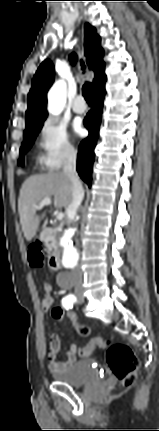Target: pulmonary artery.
<instances>
[{"label":"pulmonary artery","instance_id":"obj_1","mask_svg":"<svg viewBox=\"0 0 159 431\" xmlns=\"http://www.w3.org/2000/svg\"><path fill=\"white\" fill-rule=\"evenodd\" d=\"M72 110L75 113L82 114L86 111V105L82 95H77L72 102Z\"/></svg>","mask_w":159,"mask_h":431}]
</instances>
